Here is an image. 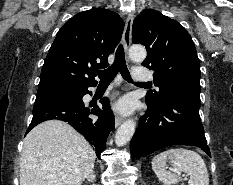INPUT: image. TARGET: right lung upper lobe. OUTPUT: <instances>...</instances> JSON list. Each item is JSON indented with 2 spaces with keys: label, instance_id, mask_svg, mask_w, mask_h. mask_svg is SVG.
I'll list each match as a JSON object with an SVG mask.
<instances>
[{
  "label": "right lung upper lobe",
  "instance_id": "1",
  "mask_svg": "<svg viewBox=\"0 0 233 185\" xmlns=\"http://www.w3.org/2000/svg\"><path fill=\"white\" fill-rule=\"evenodd\" d=\"M123 19L110 10L94 8L69 19L58 31L45 59L38 91L75 89L96 85V68L121 39Z\"/></svg>",
  "mask_w": 233,
  "mask_h": 185
}]
</instances>
